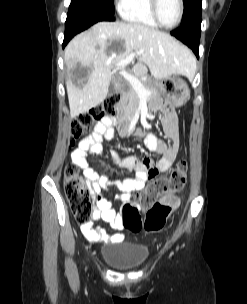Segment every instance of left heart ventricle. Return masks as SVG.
<instances>
[{
	"label": "left heart ventricle",
	"mask_w": 247,
	"mask_h": 304,
	"mask_svg": "<svg viewBox=\"0 0 247 304\" xmlns=\"http://www.w3.org/2000/svg\"><path fill=\"white\" fill-rule=\"evenodd\" d=\"M179 16L178 0H160L159 17L166 26H172L176 23Z\"/></svg>",
	"instance_id": "b2bd125f"
}]
</instances>
